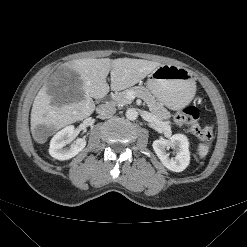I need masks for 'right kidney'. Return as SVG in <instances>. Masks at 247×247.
<instances>
[{
	"label": "right kidney",
	"instance_id": "ca27d5eb",
	"mask_svg": "<svg viewBox=\"0 0 247 247\" xmlns=\"http://www.w3.org/2000/svg\"><path fill=\"white\" fill-rule=\"evenodd\" d=\"M74 126H67L54 135L50 142L49 154L58 160H68L76 156L86 146L85 138H78L69 148L65 146L71 141Z\"/></svg>",
	"mask_w": 247,
	"mask_h": 247
}]
</instances>
